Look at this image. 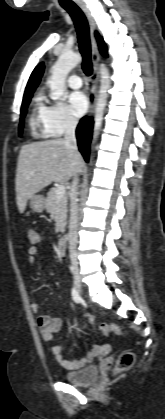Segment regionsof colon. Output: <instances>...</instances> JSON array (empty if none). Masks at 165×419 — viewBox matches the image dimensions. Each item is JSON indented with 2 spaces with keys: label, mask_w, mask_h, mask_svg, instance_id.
Listing matches in <instances>:
<instances>
[{
  "label": "colon",
  "mask_w": 165,
  "mask_h": 419,
  "mask_svg": "<svg viewBox=\"0 0 165 419\" xmlns=\"http://www.w3.org/2000/svg\"><path fill=\"white\" fill-rule=\"evenodd\" d=\"M29 240L33 243H36L39 241V236L36 231L33 229H30L28 231ZM101 330L105 333H116V334H125L124 330L120 328L119 326L115 324H109V323H101L100 325ZM135 361V353L133 351L127 350L122 352L116 361L114 371L115 373H121L129 368L132 367Z\"/></svg>",
  "instance_id": "1"
}]
</instances>
